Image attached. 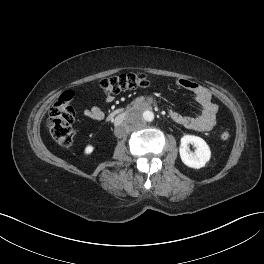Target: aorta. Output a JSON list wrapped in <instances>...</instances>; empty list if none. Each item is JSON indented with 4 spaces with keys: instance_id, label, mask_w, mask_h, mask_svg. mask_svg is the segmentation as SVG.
Instances as JSON below:
<instances>
[{
    "instance_id": "aorta-1",
    "label": "aorta",
    "mask_w": 264,
    "mask_h": 264,
    "mask_svg": "<svg viewBox=\"0 0 264 264\" xmlns=\"http://www.w3.org/2000/svg\"><path fill=\"white\" fill-rule=\"evenodd\" d=\"M143 121L152 122L154 120V113L151 110H144L140 113Z\"/></svg>"
}]
</instances>
